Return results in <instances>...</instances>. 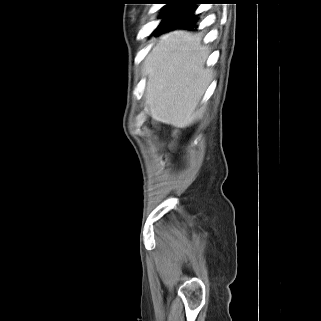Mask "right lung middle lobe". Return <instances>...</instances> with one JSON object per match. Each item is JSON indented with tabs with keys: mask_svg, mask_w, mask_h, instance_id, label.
Returning a JSON list of instances; mask_svg holds the SVG:
<instances>
[{
	"mask_svg": "<svg viewBox=\"0 0 321 321\" xmlns=\"http://www.w3.org/2000/svg\"><path fill=\"white\" fill-rule=\"evenodd\" d=\"M175 8L174 5H170L168 7H166V9H164V11L162 12V14L160 15V18H164L171 10H173Z\"/></svg>",
	"mask_w": 321,
	"mask_h": 321,
	"instance_id": "obj_1",
	"label": "right lung middle lobe"
}]
</instances>
